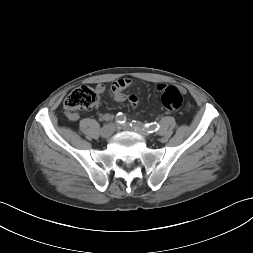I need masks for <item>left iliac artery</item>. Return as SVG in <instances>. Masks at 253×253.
<instances>
[{
  "instance_id": "obj_1",
  "label": "left iliac artery",
  "mask_w": 253,
  "mask_h": 253,
  "mask_svg": "<svg viewBox=\"0 0 253 253\" xmlns=\"http://www.w3.org/2000/svg\"><path fill=\"white\" fill-rule=\"evenodd\" d=\"M130 125L134 126V127H140L141 129L145 130L148 133L156 132L160 128V125L158 123H156V122H154V123H147L145 125H142L140 122H138L136 120H133L130 123Z\"/></svg>"
}]
</instances>
